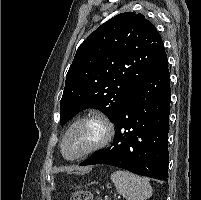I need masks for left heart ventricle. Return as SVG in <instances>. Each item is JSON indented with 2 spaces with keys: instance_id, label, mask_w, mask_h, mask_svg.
<instances>
[{
  "instance_id": "b2bd125f",
  "label": "left heart ventricle",
  "mask_w": 201,
  "mask_h": 200,
  "mask_svg": "<svg viewBox=\"0 0 201 200\" xmlns=\"http://www.w3.org/2000/svg\"><path fill=\"white\" fill-rule=\"evenodd\" d=\"M102 131L99 125L89 122L75 127L69 134L65 153L68 157H75L91 146H93L101 137Z\"/></svg>"
}]
</instances>
